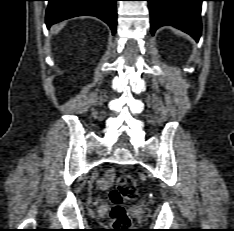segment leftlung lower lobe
Listing matches in <instances>:
<instances>
[{"instance_id":"1","label":"left lung lower lobe","mask_w":234,"mask_h":231,"mask_svg":"<svg viewBox=\"0 0 234 231\" xmlns=\"http://www.w3.org/2000/svg\"><path fill=\"white\" fill-rule=\"evenodd\" d=\"M151 15V33L160 26L171 25L196 41L201 36V3L205 0H147Z\"/></svg>"}]
</instances>
